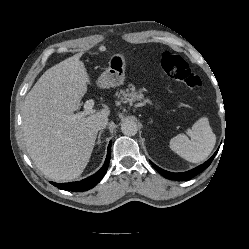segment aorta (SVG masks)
I'll return each instance as SVG.
<instances>
[{"label":"aorta","instance_id":"obj_1","mask_svg":"<svg viewBox=\"0 0 249 249\" xmlns=\"http://www.w3.org/2000/svg\"><path fill=\"white\" fill-rule=\"evenodd\" d=\"M121 131L126 136H134L138 132V126L136 122L126 120L121 124Z\"/></svg>","mask_w":249,"mask_h":249}]
</instances>
